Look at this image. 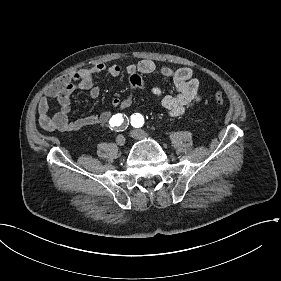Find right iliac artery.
Listing matches in <instances>:
<instances>
[{
  "label": "right iliac artery",
  "instance_id": "obj_1",
  "mask_svg": "<svg viewBox=\"0 0 281 281\" xmlns=\"http://www.w3.org/2000/svg\"><path fill=\"white\" fill-rule=\"evenodd\" d=\"M109 124L112 130H115L117 132L124 131L129 125V119L125 114L123 115L118 113L112 116L109 121Z\"/></svg>",
  "mask_w": 281,
  "mask_h": 281
}]
</instances>
